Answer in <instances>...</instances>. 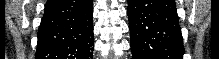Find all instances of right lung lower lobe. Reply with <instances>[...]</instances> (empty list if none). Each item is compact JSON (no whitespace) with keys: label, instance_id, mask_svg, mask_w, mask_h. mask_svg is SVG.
I'll return each instance as SVG.
<instances>
[{"label":"right lung lower lobe","instance_id":"1","mask_svg":"<svg viewBox=\"0 0 219 59\" xmlns=\"http://www.w3.org/2000/svg\"><path fill=\"white\" fill-rule=\"evenodd\" d=\"M92 0H48L38 30L36 59H91Z\"/></svg>","mask_w":219,"mask_h":59}]
</instances>
